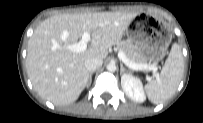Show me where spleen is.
I'll use <instances>...</instances> for the list:
<instances>
[{
    "mask_svg": "<svg viewBox=\"0 0 203 123\" xmlns=\"http://www.w3.org/2000/svg\"><path fill=\"white\" fill-rule=\"evenodd\" d=\"M184 72V59L181 48L174 43L169 56L156 79L145 85L148 99L154 103H162L176 92Z\"/></svg>",
    "mask_w": 203,
    "mask_h": 123,
    "instance_id": "1",
    "label": "spleen"
}]
</instances>
